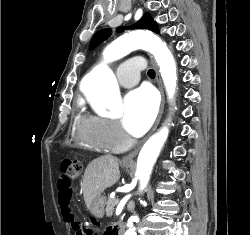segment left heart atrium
I'll return each instance as SVG.
<instances>
[{"instance_id":"39dd6f15","label":"left heart atrium","mask_w":250,"mask_h":235,"mask_svg":"<svg viewBox=\"0 0 250 235\" xmlns=\"http://www.w3.org/2000/svg\"><path fill=\"white\" fill-rule=\"evenodd\" d=\"M123 125L133 136H141L151 126L158 102L152 89L143 86L131 91L124 99Z\"/></svg>"}]
</instances>
